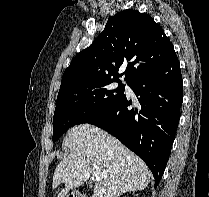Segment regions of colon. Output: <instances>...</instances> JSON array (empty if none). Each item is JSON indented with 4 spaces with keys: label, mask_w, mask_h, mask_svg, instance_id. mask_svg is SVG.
Instances as JSON below:
<instances>
[{
    "label": "colon",
    "mask_w": 209,
    "mask_h": 197,
    "mask_svg": "<svg viewBox=\"0 0 209 197\" xmlns=\"http://www.w3.org/2000/svg\"><path fill=\"white\" fill-rule=\"evenodd\" d=\"M67 197H84V196L78 193H73V194H69Z\"/></svg>",
    "instance_id": "obj_1"
}]
</instances>
